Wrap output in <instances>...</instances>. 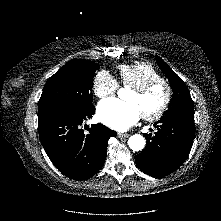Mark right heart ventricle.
<instances>
[{"instance_id": "obj_1", "label": "right heart ventricle", "mask_w": 221, "mask_h": 221, "mask_svg": "<svg viewBox=\"0 0 221 221\" xmlns=\"http://www.w3.org/2000/svg\"><path fill=\"white\" fill-rule=\"evenodd\" d=\"M121 82L136 87L150 80L161 78L159 72L149 63H122L117 67Z\"/></svg>"}]
</instances>
